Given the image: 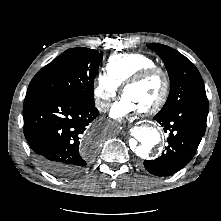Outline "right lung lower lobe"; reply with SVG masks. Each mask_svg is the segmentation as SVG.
<instances>
[{"instance_id":"98d812e1","label":"right lung lower lobe","mask_w":221,"mask_h":221,"mask_svg":"<svg viewBox=\"0 0 221 221\" xmlns=\"http://www.w3.org/2000/svg\"><path fill=\"white\" fill-rule=\"evenodd\" d=\"M98 115L95 105L44 89L28 90L24 134L39 165L60 179L82 174L92 160L96 140L84 145L81 138Z\"/></svg>"}]
</instances>
